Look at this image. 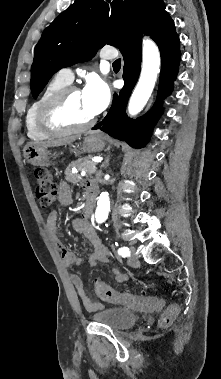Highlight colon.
<instances>
[{"mask_svg":"<svg viewBox=\"0 0 221 379\" xmlns=\"http://www.w3.org/2000/svg\"><path fill=\"white\" fill-rule=\"evenodd\" d=\"M36 179V196L42 208H50L57 198V186L52 174L45 168H37L35 170ZM96 295L105 302L113 304H122L129 308L155 312L163 309L164 301L160 297L142 293L140 295H132L114 290L103 281L96 280L94 282ZM178 306L175 304L165 308L160 317L158 324L161 328H168L174 322L178 315Z\"/></svg>","mask_w":221,"mask_h":379,"instance_id":"colon-1","label":"colon"}]
</instances>
